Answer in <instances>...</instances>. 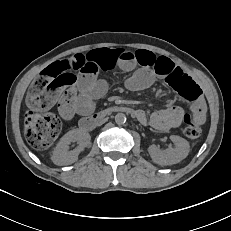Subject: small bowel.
<instances>
[{"label": "small bowel", "instance_id": "c3829d8e", "mask_svg": "<svg viewBox=\"0 0 231 231\" xmlns=\"http://www.w3.org/2000/svg\"><path fill=\"white\" fill-rule=\"evenodd\" d=\"M75 75V83L71 93L58 100V110L64 120H71L76 113L87 114L93 110L94 100L102 96L107 89L106 83L99 78L101 72L119 67L124 71H133L126 80V87L132 91L147 88L155 77L166 81L173 74H185L171 59L156 56L148 50L129 51L127 49H97L85 54H75L62 61ZM138 120L150 125L158 131H167L178 127L186 118L202 124L205 121V103L200 96L192 104V114L187 115L178 106L155 111L148 119L145 112L138 110Z\"/></svg>", "mask_w": 231, "mask_h": 231}]
</instances>
